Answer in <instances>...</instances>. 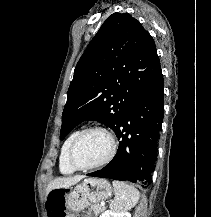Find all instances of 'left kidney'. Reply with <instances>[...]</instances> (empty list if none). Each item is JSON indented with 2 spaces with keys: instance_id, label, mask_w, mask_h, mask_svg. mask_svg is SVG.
<instances>
[{
  "instance_id": "1",
  "label": "left kidney",
  "mask_w": 211,
  "mask_h": 217,
  "mask_svg": "<svg viewBox=\"0 0 211 217\" xmlns=\"http://www.w3.org/2000/svg\"><path fill=\"white\" fill-rule=\"evenodd\" d=\"M100 217H131L129 212L117 213L112 210H107Z\"/></svg>"
}]
</instances>
